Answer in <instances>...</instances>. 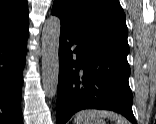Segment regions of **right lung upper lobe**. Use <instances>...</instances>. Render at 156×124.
<instances>
[{
    "label": "right lung upper lobe",
    "instance_id": "right-lung-upper-lobe-1",
    "mask_svg": "<svg viewBox=\"0 0 156 124\" xmlns=\"http://www.w3.org/2000/svg\"><path fill=\"white\" fill-rule=\"evenodd\" d=\"M28 25L26 0H0V32L25 30Z\"/></svg>",
    "mask_w": 156,
    "mask_h": 124
}]
</instances>
